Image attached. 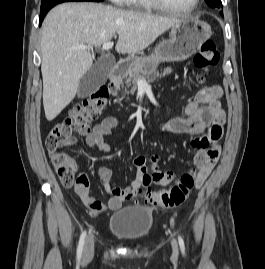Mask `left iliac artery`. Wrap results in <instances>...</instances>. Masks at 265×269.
<instances>
[{
  "label": "left iliac artery",
  "instance_id": "44dca946",
  "mask_svg": "<svg viewBox=\"0 0 265 269\" xmlns=\"http://www.w3.org/2000/svg\"><path fill=\"white\" fill-rule=\"evenodd\" d=\"M178 241H179V245H180L181 251L184 254L185 253V244H184V241H183V239H182L181 236H178Z\"/></svg>",
  "mask_w": 265,
  "mask_h": 269
}]
</instances>
